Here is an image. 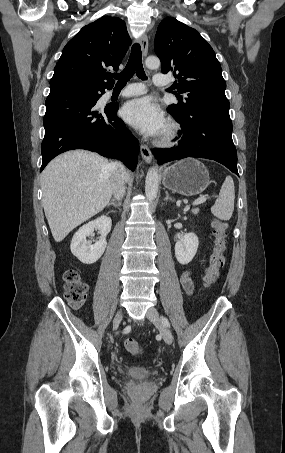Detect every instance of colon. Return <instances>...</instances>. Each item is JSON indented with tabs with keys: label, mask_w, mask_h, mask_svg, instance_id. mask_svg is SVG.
Masks as SVG:
<instances>
[{
	"label": "colon",
	"mask_w": 285,
	"mask_h": 453,
	"mask_svg": "<svg viewBox=\"0 0 285 453\" xmlns=\"http://www.w3.org/2000/svg\"><path fill=\"white\" fill-rule=\"evenodd\" d=\"M214 249L209 257L208 266L203 276V285L210 288L219 276L224 265V251L226 249L227 225L219 219L212 222ZM88 295V284L75 269H68L64 273V296L68 304L75 309L81 308ZM126 350L132 355H140L143 352L142 345L135 339L125 341Z\"/></svg>",
	"instance_id": "obj_1"
}]
</instances>
